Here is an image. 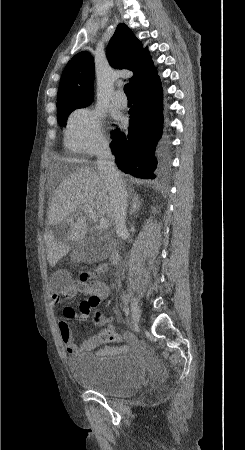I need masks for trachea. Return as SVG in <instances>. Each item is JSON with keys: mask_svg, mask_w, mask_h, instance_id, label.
Instances as JSON below:
<instances>
[{"mask_svg": "<svg viewBox=\"0 0 245 450\" xmlns=\"http://www.w3.org/2000/svg\"><path fill=\"white\" fill-rule=\"evenodd\" d=\"M124 92L126 95L131 96L130 85L128 83L124 86Z\"/></svg>", "mask_w": 245, "mask_h": 450, "instance_id": "obj_1", "label": "trachea"}]
</instances>
